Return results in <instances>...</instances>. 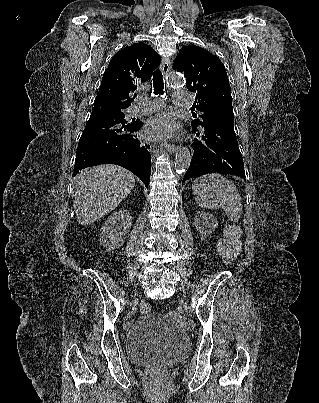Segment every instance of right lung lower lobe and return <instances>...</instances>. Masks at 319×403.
<instances>
[{"label": "right lung lower lobe", "mask_w": 319, "mask_h": 403, "mask_svg": "<svg viewBox=\"0 0 319 403\" xmlns=\"http://www.w3.org/2000/svg\"><path fill=\"white\" fill-rule=\"evenodd\" d=\"M142 125L139 120L89 119L77 147L73 176L86 167L116 164L133 172L148 187L151 155L150 146L137 134Z\"/></svg>", "instance_id": "1"}]
</instances>
